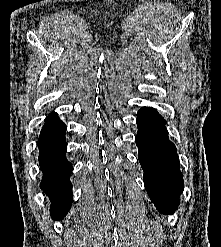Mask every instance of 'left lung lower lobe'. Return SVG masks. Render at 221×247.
Returning <instances> with one entry per match:
<instances>
[{"mask_svg":"<svg viewBox=\"0 0 221 247\" xmlns=\"http://www.w3.org/2000/svg\"><path fill=\"white\" fill-rule=\"evenodd\" d=\"M136 122L135 141L147 193L160 213L173 214L184 182L176 147L167 137L166 121L157 110L143 107Z\"/></svg>","mask_w":221,"mask_h":247,"instance_id":"0a47b994","label":"left lung lower lobe"}]
</instances>
